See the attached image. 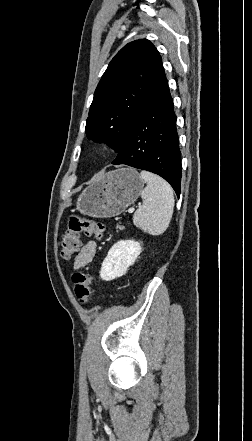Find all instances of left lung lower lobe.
<instances>
[{
    "label": "left lung lower lobe",
    "mask_w": 252,
    "mask_h": 441,
    "mask_svg": "<svg viewBox=\"0 0 252 441\" xmlns=\"http://www.w3.org/2000/svg\"><path fill=\"white\" fill-rule=\"evenodd\" d=\"M173 99L162 61L145 101L112 164H125L158 174L180 195L181 152Z\"/></svg>",
    "instance_id": "left-lung-lower-lobe-1"
}]
</instances>
